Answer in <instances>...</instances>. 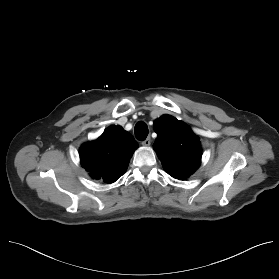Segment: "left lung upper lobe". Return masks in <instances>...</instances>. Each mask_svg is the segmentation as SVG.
Wrapping results in <instances>:
<instances>
[{
    "mask_svg": "<svg viewBox=\"0 0 279 279\" xmlns=\"http://www.w3.org/2000/svg\"><path fill=\"white\" fill-rule=\"evenodd\" d=\"M155 149L163 168L172 177L184 180L201 162L200 140L191 129L176 118L163 115L154 122Z\"/></svg>",
    "mask_w": 279,
    "mask_h": 279,
    "instance_id": "obj_1",
    "label": "left lung upper lobe"
}]
</instances>
